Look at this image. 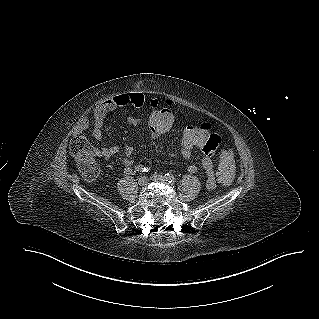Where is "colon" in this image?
Segmentation results:
<instances>
[{"label": "colon", "instance_id": "colon-1", "mask_svg": "<svg viewBox=\"0 0 319 319\" xmlns=\"http://www.w3.org/2000/svg\"><path fill=\"white\" fill-rule=\"evenodd\" d=\"M175 125L173 113H152L147 118V127L154 134H164L172 130ZM221 129L218 124H213L205 117H198L195 125L183 127L178 132L180 149L185 154H192L195 151L203 150L204 143L209 141L211 134ZM71 152L77 159L79 170L83 178L94 181L99 174V166L96 162L98 150L84 137H77L71 142ZM219 172L226 182L233 179L235 172L234 154L231 149L225 148L220 153Z\"/></svg>", "mask_w": 319, "mask_h": 319}]
</instances>
